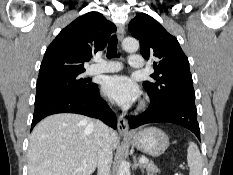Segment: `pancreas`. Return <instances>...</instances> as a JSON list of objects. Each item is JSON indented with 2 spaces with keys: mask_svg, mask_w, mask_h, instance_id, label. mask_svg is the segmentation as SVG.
<instances>
[{
  "mask_svg": "<svg viewBox=\"0 0 233 175\" xmlns=\"http://www.w3.org/2000/svg\"><path fill=\"white\" fill-rule=\"evenodd\" d=\"M143 167L146 169L148 175H154L160 172V170L157 168V166L154 165L153 162L144 163Z\"/></svg>",
  "mask_w": 233,
  "mask_h": 175,
  "instance_id": "cf45deb5",
  "label": "pancreas"
}]
</instances>
